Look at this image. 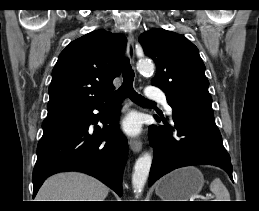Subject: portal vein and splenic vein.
Masks as SVG:
<instances>
[{
  "label": "portal vein and splenic vein",
  "instance_id": "obj_1",
  "mask_svg": "<svg viewBox=\"0 0 259 211\" xmlns=\"http://www.w3.org/2000/svg\"><path fill=\"white\" fill-rule=\"evenodd\" d=\"M212 196L211 195H207L205 197H202V199H204V201H207L208 199H210Z\"/></svg>",
  "mask_w": 259,
  "mask_h": 211
}]
</instances>
